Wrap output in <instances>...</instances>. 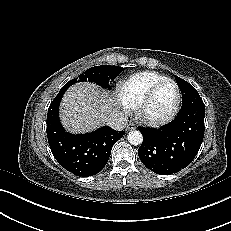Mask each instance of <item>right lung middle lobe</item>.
<instances>
[{
	"label": "right lung middle lobe",
	"instance_id": "1",
	"mask_svg": "<svg viewBox=\"0 0 231 231\" xmlns=\"http://www.w3.org/2000/svg\"><path fill=\"white\" fill-rule=\"evenodd\" d=\"M124 69L118 66H95L80 74L77 79H72L66 85L71 86L77 82L89 81L110 88L109 80H114Z\"/></svg>",
	"mask_w": 231,
	"mask_h": 231
}]
</instances>
